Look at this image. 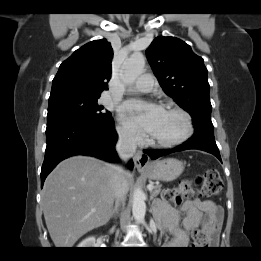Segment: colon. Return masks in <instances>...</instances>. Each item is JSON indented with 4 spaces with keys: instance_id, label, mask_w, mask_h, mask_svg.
<instances>
[{
    "instance_id": "obj_1",
    "label": "colon",
    "mask_w": 261,
    "mask_h": 261,
    "mask_svg": "<svg viewBox=\"0 0 261 261\" xmlns=\"http://www.w3.org/2000/svg\"><path fill=\"white\" fill-rule=\"evenodd\" d=\"M200 190L195 193L192 183L188 180L182 181L176 189L166 190L163 194L165 201L172 204H180L183 199L191 197H213L223 191V181L216 170L209 169L203 176L197 179ZM214 225L206 223L203 228L195 234V244L199 247H208L212 243Z\"/></svg>"
}]
</instances>
